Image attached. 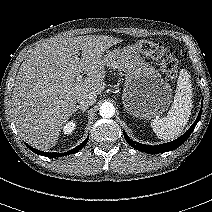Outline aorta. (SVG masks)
<instances>
[{
  "label": "aorta",
  "mask_w": 212,
  "mask_h": 212,
  "mask_svg": "<svg viewBox=\"0 0 212 212\" xmlns=\"http://www.w3.org/2000/svg\"><path fill=\"white\" fill-rule=\"evenodd\" d=\"M99 113L103 118H111L115 114V107L111 103H103L100 106Z\"/></svg>",
  "instance_id": "762f6f07"
}]
</instances>
